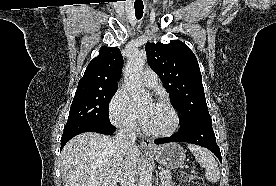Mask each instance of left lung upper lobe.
<instances>
[{
  "mask_svg": "<svg viewBox=\"0 0 276 186\" xmlns=\"http://www.w3.org/2000/svg\"><path fill=\"white\" fill-rule=\"evenodd\" d=\"M145 50L148 64L162 80L172 106L181 115L179 131L211 121L200 68L191 49L182 41L171 40L169 44L147 43Z\"/></svg>",
  "mask_w": 276,
  "mask_h": 186,
  "instance_id": "left-lung-upper-lobe-1",
  "label": "left lung upper lobe"
}]
</instances>
